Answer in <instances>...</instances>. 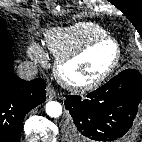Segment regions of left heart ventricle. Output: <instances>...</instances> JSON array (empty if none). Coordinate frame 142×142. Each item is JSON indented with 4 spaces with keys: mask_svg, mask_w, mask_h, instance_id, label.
I'll list each match as a JSON object with an SVG mask.
<instances>
[{
    "mask_svg": "<svg viewBox=\"0 0 142 142\" xmlns=\"http://www.w3.org/2000/svg\"><path fill=\"white\" fill-rule=\"evenodd\" d=\"M114 47L109 42L103 43L66 68V73L79 82L89 81L98 76L111 63Z\"/></svg>",
    "mask_w": 142,
    "mask_h": 142,
    "instance_id": "obj_1",
    "label": "left heart ventricle"
}]
</instances>
